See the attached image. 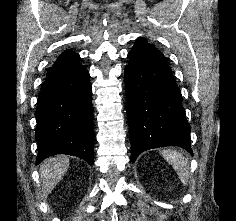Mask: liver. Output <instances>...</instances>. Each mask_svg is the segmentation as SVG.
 Listing matches in <instances>:
<instances>
[{
	"label": "liver",
	"instance_id": "obj_1",
	"mask_svg": "<svg viewBox=\"0 0 236 221\" xmlns=\"http://www.w3.org/2000/svg\"><path fill=\"white\" fill-rule=\"evenodd\" d=\"M70 164L67 156L51 157L40 165L39 173L42 179V192L40 197L46 198L54 187L60 182Z\"/></svg>",
	"mask_w": 236,
	"mask_h": 221
}]
</instances>
